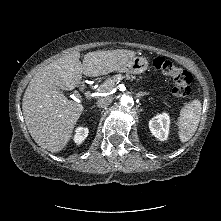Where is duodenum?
Segmentation results:
<instances>
[{
	"mask_svg": "<svg viewBox=\"0 0 221 221\" xmlns=\"http://www.w3.org/2000/svg\"><path fill=\"white\" fill-rule=\"evenodd\" d=\"M81 86H82L83 88H85V82H84V81H82Z\"/></svg>",
	"mask_w": 221,
	"mask_h": 221,
	"instance_id": "obj_1",
	"label": "duodenum"
}]
</instances>
